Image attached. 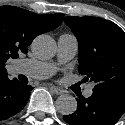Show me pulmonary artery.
I'll return each instance as SVG.
<instances>
[{
  "mask_svg": "<svg viewBox=\"0 0 125 125\" xmlns=\"http://www.w3.org/2000/svg\"><path fill=\"white\" fill-rule=\"evenodd\" d=\"M77 50V38L73 34H61L57 40V62L23 59L18 62L19 72L34 79H46L56 72L57 63L71 60ZM92 92V86H89L84 94L89 97Z\"/></svg>",
  "mask_w": 125,
  "mask_h": 125,
  "instance_id": "e3ab8cb5",
  "label": "pulmonary artery"
}]
</instances>
